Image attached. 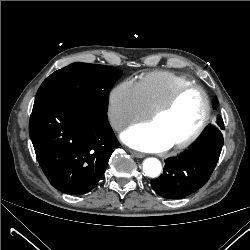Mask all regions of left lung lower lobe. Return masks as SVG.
<instances>
[{
	"label": "left lung lower lobe",
	"instance_id": "0a47b994",
	"mask_svg": "<svg viewBox=\"0 0 250 250\" xmlns=\"http://www.w3.org/2000/svg\"><path fill=\"white\" fill-rule=\"evenodd\" d=\"M223 143L220 128L209 126L188 150L166 160L163 174L151 181L154 191L178 199L202 187L218 162Z\"/></svg>",
	"mask_w": 250,
	"mask_h": 250
}]
</instances>
